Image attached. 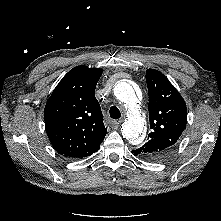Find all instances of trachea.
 I'll use <instances>...</instances> for the list:
<instances>
[{"mask_svg": "<svg viewBox=\"0 0 221 221\" xmlns=\"http://www.w3.org/2000/svg\"><path fill=\"white\" fill-rule=\"evenodd\" d=\"M109 113L112 119H119L121 117L120 110L116 106H111Z\"/></svg>", "mask_w": 221, "mask_h": 221, "instance_id": "obj_1", "label": "trachea"}]
</instances>
